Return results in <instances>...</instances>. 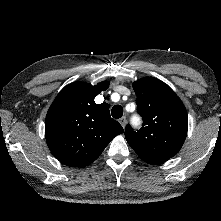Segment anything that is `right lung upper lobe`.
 Masks as SVG:
<instances>
[{
  "label": "right lung upper lobe",
  "mask_w": 221,
  "mask_h": 221,
  "mask_svg": "<svg viewBox=\"0 0 221 221\" xmlns=\"http://www.w3.org/2000/svg\"><path fill=\"white\" fill-rule=\"evenodd\" d=\"M108 87V81L95 86L72 83L63 88L51 104L45 135L50 151L63 164L89 165L115 136L123 133L122 126L110 116V106L94 102Z\"/></svg>",
  "instance_id": "obj_1"
}]
</instances>
